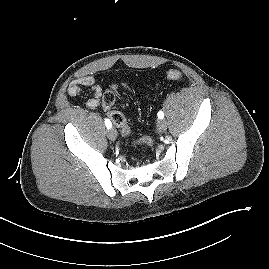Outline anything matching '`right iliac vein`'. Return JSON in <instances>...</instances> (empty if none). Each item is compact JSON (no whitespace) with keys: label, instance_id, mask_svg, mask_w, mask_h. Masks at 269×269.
Segmentation results:
<instances>
[{"label":"right iliac vein","instance_id":"63e3f726","mask_svg":"<svg viewBox=\"0 0 269 269\" xmlns=\"http://www.w3.org/2000/svg\"><path fill=\"white\" fill-rule=\"evenodd\" d=\"M107 136L110 140L114 141L117 138V132L114 128H109L107 131Z\"/></svg>","mask_w":269,"mask_h":269}]
</instances>
